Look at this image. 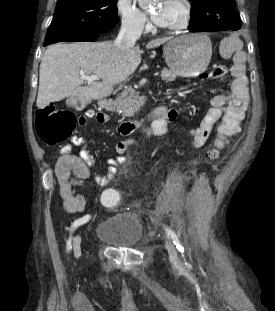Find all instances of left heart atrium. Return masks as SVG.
Wrapping results in <instances>:
<instances>
[{"mask_svg":"<svg viewBox=\"0 0 275 311\" xmlns=\"http://www.w3.org/2000/svg\"><path fill=\"white\" fill-rule=\"evenodd\" d=\"M151 18L156 25L163 26L164 13L161 7H157L151 14Z\"/></svg>","mask_w":275,"mask_h":311,"instance_id":"left-heart-atrium-1","label":"left heart atrium"}]
</instances>
